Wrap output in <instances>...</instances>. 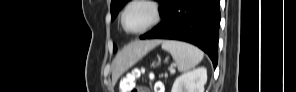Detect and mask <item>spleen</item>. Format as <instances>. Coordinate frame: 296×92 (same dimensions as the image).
<instances>
[{
  "label": "spleen",
  "mask_w": 296,
  "mask_h": 92,
  "mask_svg": "<svg viewBox=\"0 0 296 92\" xmlns=\"http://www.w3.org/2000/svg\"><path fill=\"white\" fill-rule=\"evenodd\" d=\"M162 49L172 55L180 72H185L195 67L204 56L203 52L197 47L181 41H163Z\"/></svg>",
  "instance_id": "1"
}]
</instances>
